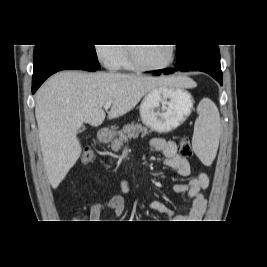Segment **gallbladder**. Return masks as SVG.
Listing matches in <instances>:
<instances>
[{"instance_id":"1","label":"gallbladder","mask_w":267,"mask_h":267,"mask_svg":"<svg viewBox=\"0 0 267 267\" xmlns=\"http://www.w3.org/2000/svg\"><path fill=\"white\" fill-rule=\"evenodd\" d=\"M85 130V126H81L80 129H79V132H82Z\"/></svg>"}]
</instances>
